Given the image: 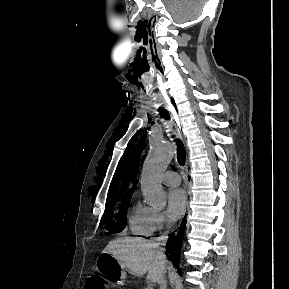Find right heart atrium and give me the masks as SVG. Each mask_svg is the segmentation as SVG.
Segmentation results:
<instances>
[{"mask_svg":"<svg viewBox=\"0 0 289 289\" xmlns=\"http://www.w3.org/2000/svg\"><path fill=\"white\" fill-rule=\"evenodd\" d=\"M166 222H167L166 218L161 212L155 213V218H154L155 230L163 229L166 225Z\"/></svg>","mask_w":289,"mask_h":289,"instance_id":"right-heart-atrium-1","label":"right heart atrium"}]
</instances>
